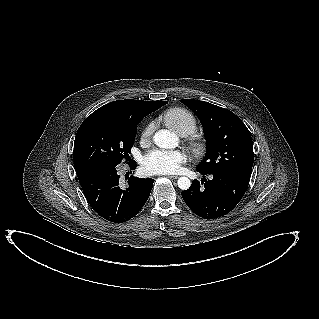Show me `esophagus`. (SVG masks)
Instances as JSON below:
<instances>
[{
	"mask_svg": "<svg viewBox=\"0 0 319 319\" xmlns=\"http://www.w3.org/2000/svg\"><path fill=\"white\" fill-rule=\"evenodd\" d=\"M179 176H177V175H168V178H170V179H177Z\"/></svg>",
	"mask_w": 319,
	"mask_h": 319,
	"instance_id": "esophagus-1",
	"label": "esophagus"
}]
</instances>
